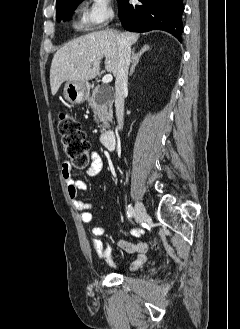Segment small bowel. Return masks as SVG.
I'll return each mask as SVG.
<instances>
[{
  "instance_id": "small-bowel-1",
  "label": "small bowel",
  "mask_w": 240,
  "mask_h": 329,
  "mask_svg": "<svg viewBox=\"0 0 240 329\" xmlns=\"http://www.w3.org/2000/svg\"><path fill=\"white\" fill-rule=\"evenodd\" d=\"M102 166L103 162L100 155L97 152L92 151L90 153V165L86 170V175L88 177H95L101 171ZM61 175L66 185L67 194L72 200L74 208L79 211V218L81 222L85 224L91 223L93 219L91 210L95 208V205L85 203L78 199L79 193L87 189V184L84 181L77 180L73 177L69 162L63 163L61 167ZM91 232L94 236L91 242L97 257L101 261L106 262L112 268H116L111 247L98 238L106 233V229L101 226H97L92 228ZM135 233L136 231H133V234ZM117 244L125 252L129 254H136V257L131 265L132 270L140 269L147 261L146 253L148 251V246L146 243L132 244L125 240H118Z\"/></svg>"
}]
</instances>
